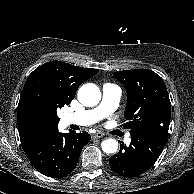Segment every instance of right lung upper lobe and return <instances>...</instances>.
Instances as JSON below:
<instances>
[{
  "instance_id": "obj_1",
  "label": "right lung upper lobe",
  "mask_w": 194,
  "mask_h": 194,
  "mask_svg": "<svg viewBox=\"0 0 194 194\" xmlns=\"http://www.w3.org/2000/svg\"><path fill=\"white\" fill-rule=\"evenodd\" d=\"M99 72L60 61H50L36 68L22 90L17 122L22 146L35 137L58 129L56 103L69 104L78 87Z\"/></svg>"
}]
</instances>
